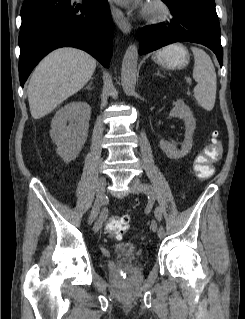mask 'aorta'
I'll use <instances>...</instances> for the list:
<instances>
[{
	"mask_svg": "<svg viewBox=\"0 0 245 319\" xmlns=\"http://www.w3.org/2000/svg\"><path fill=\"white\" fill-rule=\"evenodd\" d=\"M138 63V49L136 45H130L123 57L121 69V84L126 95L135 94L136 75Z\"/></svg>",
	"mask_w": 245,
	"mask_h": 319,
	"instance_id": "aorta-1",
	"label": "aorta"
}]
</instances>
